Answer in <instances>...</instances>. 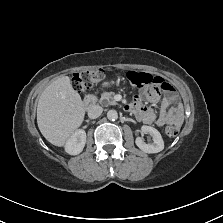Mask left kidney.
I'll return each instance as SVG.
<instances>
[{
    "label": "left kidney",
    "instance_id": "1",
    "mask_svg": "<svg viewBox=\"0 0 223 223\" xmlns=\"http://www.w3.org/2000/svg\"><path fill=\"white\" fill-rule=\"evenodd\" d=\"M143 130L153 137V144H146L142 138L135 140L136 145L145 153H158L164 149V141L159 131L151 126H144Z\"/></svg>",
    "mask_w": 223,
    "mask_h": 223
}]
</instances>
